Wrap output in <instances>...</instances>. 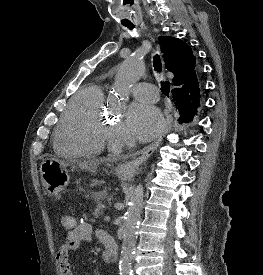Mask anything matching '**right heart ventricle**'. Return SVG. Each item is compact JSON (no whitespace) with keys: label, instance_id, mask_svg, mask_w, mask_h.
<instances>
[{"label":"right heart ventricle","instance_id":"1","mask_svg":"<svg viewBox=\"0 0 263 275\" xmlns=\"http://www.w3.org/2000/svg\"><path fill=\"white\" fill-rule=\"evenodd\" d=\"M105 89L90 84L79 90L69 101L54 135L56 151L66 157L98 156L107 137L100 131Z\"/></svg>","mask_w":263,"mask_h":275}]
</instances>
